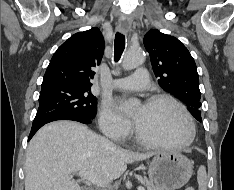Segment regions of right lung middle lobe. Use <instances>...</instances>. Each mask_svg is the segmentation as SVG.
<instances>
[{"instance_id": "obj_1", "label": "right lung middle lobe", "mask_w": 234, "mask_h": 190, "mask_svg": "<svg viewBox=\"0 0 234 190\" xmlns=\"http://www.w3.org/2000/svg\"><path fill=\"white\" fill-rule=\"evenodd\" d=\"M96 103L90 88L65 84L42 85L39 108L32 126L56 115L92 120L96 113Z\"/></svg>"}]
</instances>
